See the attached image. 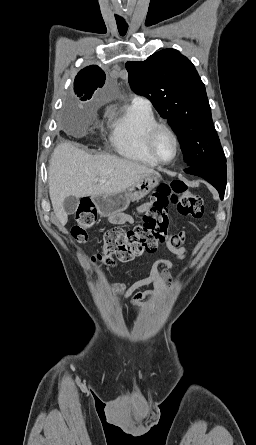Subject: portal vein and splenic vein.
<instances>
[{
    "instance_id": "obj_1",
    "label": "portal vein and splenic vein",
    "mask_w": 256,
    "mask_h": 445,
    "mask_svg": "<svg viewBox=\"0 0 256 445\" xmlns=\"http://www.w3.org/2000/svg\"><path fill=\"white\" fill-rule=\"evenodd\" d=\"M100 182H105V180H100Z\"/></svg>"
}]
</instances>
